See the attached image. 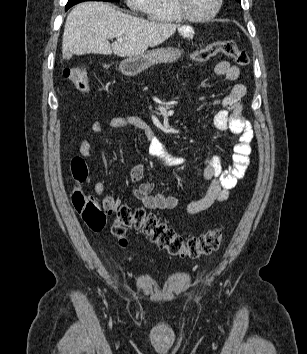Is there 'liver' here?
<instances>
[{"label":"liver","mask_w":307,"mask_h":354,"mask_svg":"<svg viewBox=\"0 0 307 354\" xmlns=\"http://www.w3.org/2000/svg\"><path fill=\"white\" fill-rule=\"evenodd\" d=\"M179 27L122 13L103 2H84L68 14L62 40L63 57L89 53L133 57L160 45ZM121 38L112 45L109 39Z\"/></svg>","instance_id":"obj_1"}]
</instances>
